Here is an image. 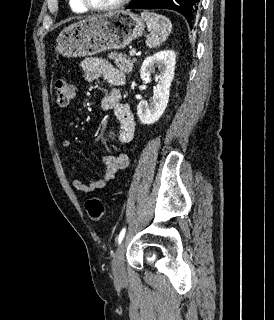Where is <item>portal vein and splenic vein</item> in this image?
<instances>
[{"instance_id":"18ae733b","label":"portal vein and splenic vein","mask_w":274,"mask_h":320,"mask_svg":"<svg viewBox=\"0 0 274 320\" xmlns=\"http://www.w3.org/2000/svg\"><path fill=\"white\" fill-rule=\"evenodd\" d=\"M130 56H134V54H136L135 50H131V52H129Z\"/></svg>"}]
</instances>
